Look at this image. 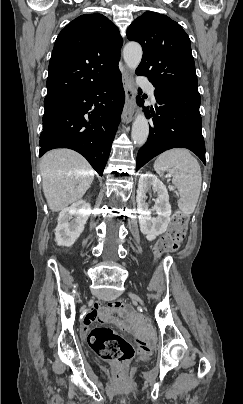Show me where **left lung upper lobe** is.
I'll use <instances>...</instances> for the list:
<instances>
[{
  "label": "left lung upper lobe",
  "instance_id": "left-lung-upper-lobe-1",
  "mask_svg": "<svg viewBox=\"0 0 243 404\" xmlns=\"http://www.w3.org/2000/svg\"><path fill=\"white\" fill-rule=\"evenodd\" d=\"M127 38L143 49L138 75L147 76L154 87L198 92L190 39L177 22L145 12L129 26Z\"/></svg>",
  "mask_w": 243,
  "mask_h": 404
}]
</instances>
